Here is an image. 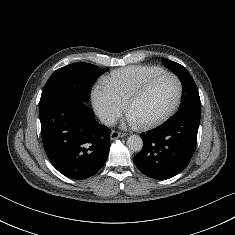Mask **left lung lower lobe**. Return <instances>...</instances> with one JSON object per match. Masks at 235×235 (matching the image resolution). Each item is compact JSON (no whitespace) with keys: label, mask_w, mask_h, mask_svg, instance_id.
<instances>
[{"label":"left lung lower lobe","mask_w":235,"mask_h":235,"mask_svg":"<svg viewBox=\"0 0 235 235\" xmlns=\"http://www.w3.org/2000/svg\"><path fill=\"white\" fill-rule=\"evenodd\" d=\"M199 113L175 115L141 137L142 150L134 157L138 169L158 180L172 178L190 162L197 142Z\"/></svg>","instance_id":"1"}]
</instances>
